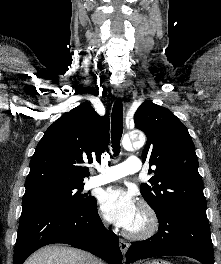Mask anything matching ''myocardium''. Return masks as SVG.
I'll list each match as a JSON object with an SVG mask.
<instances>
[{
	"label": "myocardium",
	"instance_id": "obj_1",
	"mask_svg": "<svg viewBox=\"0 0 221 264\" xmlns=\"http://www.w3.org/2000/svg\"><path fill=\"white\" fill-rule=\"evenodd\" d=\"M139 212L142 215V223L138 228L127 229L126 235L132 239H146L153 236L159 228V219L155 210L148 203H141Z\"/></svg>",
	"mask_w": 221,
	"mask_h": 264
}]
</instances>
